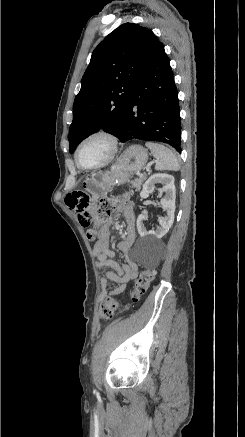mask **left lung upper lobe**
Listing matches in <instances>:
<instances>
[{"mask_svg":"<svg viewBox=\"0 0 245 437\" xmlns=\"http://www.w3.org/2000/svg\"><path fill=\"white\" fill-rule=\"evenodd\" d=\"M160 43L151 30L125 23L96 47L74 100L70 153L100 129L122 137L132 88Z\"/></svg>","mask_w":245,"mask_h":437,"instance_id":"5c2ea615","label":"left lung upper lobe"}]
</instances>
